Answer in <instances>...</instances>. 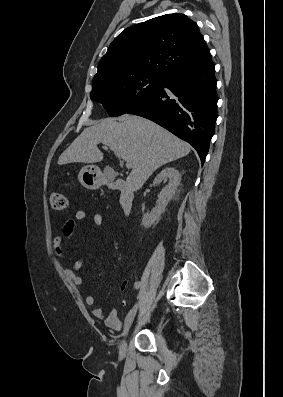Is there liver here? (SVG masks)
Segmentation results:
<instances>
[{"label":"liver","mask_w":283,"mask_h":397,"mask_svg":"<svg viewBox=\"0 0 283 397\" xmlns=\"http://www.w3.org/2000/svg\"><path fill=\"white\" fill-rule=\"evenodd\" d=\"M108 146L115 155L131 164L126 179L132 191L139 190L160 166L190 153L191 146L161 126L135 115L104 119L88 127L60 155L59 165L97 163L103 160L98 144Z\"/></svg>","instance_id":"6515ba94"}]
</instances>
